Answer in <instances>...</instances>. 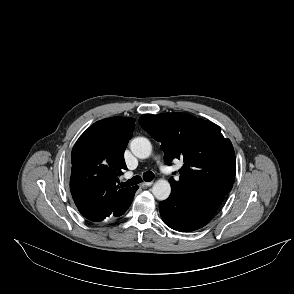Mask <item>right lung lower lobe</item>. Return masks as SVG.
I'll list each match as a JSON object with an SVG mask.
<instances>
[{"label":"right lung lower lobe","instance_id":"98d812e1","mask_svg":"<svg viewBox=\"0 0 294 294\" xmlns=\"http://www.w3.org/2000/svg\"><path fill=\"white\" fill-rule=\"evenodd\" d=\"M138 189L137 186L135 187H132L130 193L128 194L127 198L123 201L122 204H120L116 209H114L111 213L109 214H104L102 215L101 217L99 218H96V219H89L91 221H94V222H99V221H102L104 220L105 218L107 217H118V216H121L123 215L126 210L129 208V206L131 205L132 203V200H133V197H134V194L136 192V190Z\"/></svg>","mask_w":294,"mask_h":294}]
</instances>
